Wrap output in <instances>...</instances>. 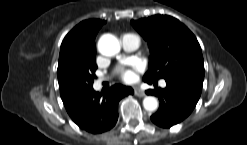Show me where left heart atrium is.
I'll list each match as a JSON object with an SVG mask.
<instances>
[{
	"mask_svg": "<svg viewBox=\"0 0 247 145\" xmlns=\"http://www.w3.org/2000/svg\"><path fill=\"white\" fill-rule=\"evenodd\" d=\"M136 68H127L121 71L120 79L125 83H134L137 79Z\"/></svg>",
	"mask_w": 247,
	"mask_h": 145,
	"instance_id": "1",
	"label": "left heart atrium"
}]
</instances>
